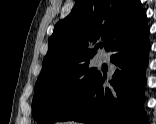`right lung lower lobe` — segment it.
<instances>
[{
    "label": "right lung lower lobe",
    "mask_w": 156,
    "mask_h": 124,
    "mask_svg": "<svg viewBox=\"0 0 156 124\" xmlns=\"http://www.w3.org/2000/svg\"><path fill=\"white\" fill-rule=\"evenodd\" d=\"M148 26L124 33L107 51H112L116 71L104 84L99 73L84 95L59 121H78L88 124H147L143 111L145 67L148 62Z\"/></svg>",
    "instance_id": "obj_1"
}]
</instances>
